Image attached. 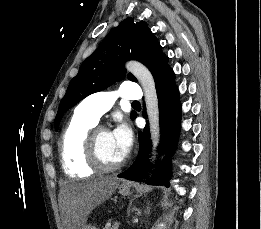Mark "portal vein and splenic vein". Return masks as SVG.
Returning <instances> with one entry per match:
<instances>
[{
  "mask_svg": "<svg viewBox=\"0 0 261 229\" xmlns=\"http://www.w3.org/2000/svg\"><path fill=\"white\" fill-rule=\"evenodd\" d=\"M121 222H122V219L115 220L114 223L112 224V227L114 229H119V225L121 224Z\"/></svg>",
  "mask_w": 261,
  "mask_h": 229,
  "instance_id": "obj_1",
  "label": "portal vein and splenic vein"
}]
</instances>
